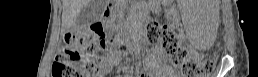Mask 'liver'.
Returning a JSON list of instances; mask_svg holds the SVG:
<instances>
[{
    "label": "liver",
    "mask_w": 258,
    "mask_h": 77,
    "mask_svg": "<svg viewBox=\"0 0 258 77\" xmlns=\"http://www.w3.org/2000/svg\"><path fill=\"white\" fill-rule=\"evenodd\" d=\"M90 0H63L62 26L70 28Z\"/></svg>",
    "instance_id": "1"
}]
</instances>
